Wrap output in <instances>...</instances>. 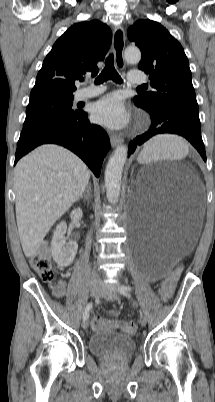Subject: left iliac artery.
<instances>
[{
  "label": "left iliac artery",
  "instance_id": "obj_1",
  "mask_svg": "<svg viewBox=\"0 0 215 402\" xmlns=\"http://www.w3.org/2000/svg\"><path fill=\"white\" fill-rule=\"evenodd\" d=\"M118 291H119L122 295H124V296H126V297H130L129 292L132 291V288H131L130 286H121V287L118 288Z\"/></svg>",
  "mask_w": 215,
  "mask_h": 402
}]
</instances>
